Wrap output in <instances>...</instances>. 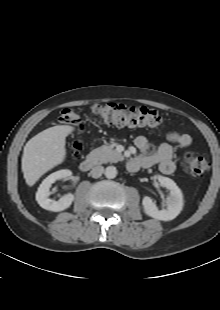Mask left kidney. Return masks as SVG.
Wrapping results in <instances>:
<instances>
[{
    "label": "left kidney",
    "mask_w": 220,
    "mask_h": 310,
    "mask_svg": "<svg viewBox=\"0 0 220 310\" xmlns=\"http://www.w3.org/2000/svg\"><path fill=\"white\" fill-rule=\"evenodd\" d=\"M158 181L162 187H165L170 191L169 196L166 199L167 209L158 210L155 203L148 196H145L142 200L144 212L155 219L162 221L173 220L182 210L183 207V194L176 183L164 176H157Z\"/></svg>",
    "instance_id": "5707ae66"
}]
</instances>
